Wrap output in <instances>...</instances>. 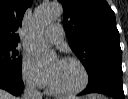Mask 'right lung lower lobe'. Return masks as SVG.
<instances>
[{
  "instance_id": "obj_1",
  "label": "right lung lower lobe",
  "mask_w": 128,
  "mask_h": 99,
  "mask_svg": "<svg viewBox=\"0 0 128 99\" xmlns=\"http://www.w3.org/2000/svg\"><path fill=\"white\" fill-rule=\"evenodd\" d=\"M0 88L17 96L23 92L24 84L21 78H13L5 74H0Z\"/></svg>"
}]
</instances>
